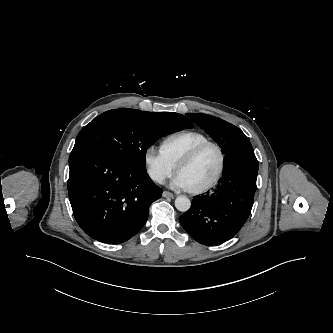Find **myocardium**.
<instances>
[{
	"instance_id": "f54148a6",
	"label": "myocardium",
	"mask_w": 333,
	"mask_h": 333,
	"mask_svg": "<svg viewBox=\"0 0 333 333\" xmlns=\"http://www.w3.org/2000/svg\"><path fill=\"white\" fill-rule=\"evenodd\" d=\"M208 148H214L218 153L219 164L217 171L215 175L212 177V179L203 186L189 189L188 191L192 194H201L207 192L208 190L213 188L221 178L225 167V154L222 148L215 142L208 141L202 143L196 146L193 150H191L185 157H183L177 165V172L179 173L182 168L192 163L203 151H205Z\"/></svg>"
}]
</instances>
